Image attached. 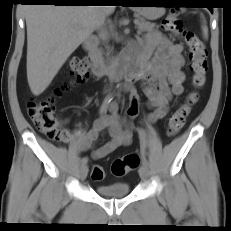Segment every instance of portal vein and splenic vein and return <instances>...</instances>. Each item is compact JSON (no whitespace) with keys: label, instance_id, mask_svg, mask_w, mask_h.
Instances as JSON below:
<instances>
[{"label":"portal vein and splenic vein","instance_id":"1","mask_svg":"<svg viewBox=\"0 0 231 231\" xmlns=\"http://www.w3.org/2000/svg\"><path fill=\"white\" fill-rule=\"evenodd\" d=\"M134 23L137 25V24L139 23V21H138V20H135Z\"/></svg>","mask_w":231,"mask_h":231}]
</instances>
